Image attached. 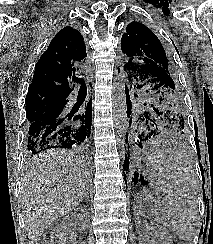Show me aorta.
<instances>
[{"label":"aorta","mask_w":213,"mask_h":244,"mask_svg":"<svg viewBox=\"0 0 213 244\" xmlns=\"http://www.w3.org/2000/svg\"><path fill=\"white\" fill-rule=\"evenodd\" d=\"M125 81L124 77H119L113 83V124L121 148L125 146L128 127Z\"/></svg>","instance_id":"1"}]
</instances>
